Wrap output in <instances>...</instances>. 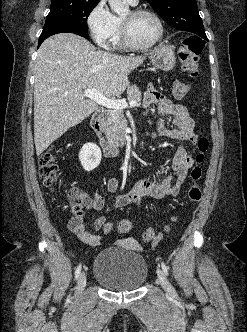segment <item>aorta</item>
Wrapping results in <instances>:
<instances>
[{
	"label": "aorta",
	"instance_id": "762f6f07",
	"mask_svg": "<svg viewBox=\"0 0 247 332\" xmlns=\"http://www.w3.org/2000/svg\"><path fill=\"white\" fill-rule=\"evenodd\" d=\"M110 8L112 11L118 15H125L129 12V6L124 0H108Z\"/></svg>",
	"mask_w": 247,
	"mask_h": 332
}]
</instances>
